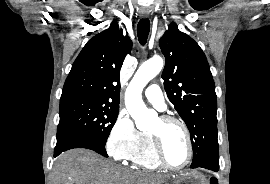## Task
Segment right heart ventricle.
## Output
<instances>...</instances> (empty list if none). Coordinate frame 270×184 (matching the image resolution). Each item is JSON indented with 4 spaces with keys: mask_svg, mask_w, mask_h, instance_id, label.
Listing matches in <instances>:
<instances>
[{
    "mask_svg": "<svg viewBox=\"0 0 270 184\" xmlns=\"http://www.w3.org/2000/svg\"><path fill=\"white\" fill-rule=\"evenodd\" d=\"M134 166L144 169H158L161 167L156 159L153 144L149 134H143V140L137 151L130 158Z\"/></svg>",
    "mask_w": 270,
    "mask_h": 184,
    "instance_id": "right-heart-ventricle-1",
    "label": "right heart ventricle"
}]
</instances>
